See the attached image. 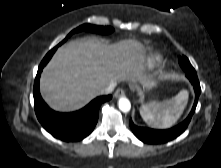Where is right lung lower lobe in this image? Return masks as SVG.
Returning <instances> with one entry per match:
<instances>
[{
    "label": "right lung lower lobe",
    "instance_id": "1",
    "mask_svg": "<svg viewBox=\"0 0 221 168\" xmlns=\"http://www.w3.org/2000/svg\"><path fill=\"white\" fill-rule=\"evenodd\" d=\"M58 46L60 45L46 54L38 67L33 90L35 113L41 125L55 138L65 142L80 141L93 131L98 121L100 106L112 96L97 97L84 108L72 113H59L50 109L40 95L39 79L44 66Z\"/></svg>",
    "mask_w": 221,
    "mask_h": 168
}]
</instances>
